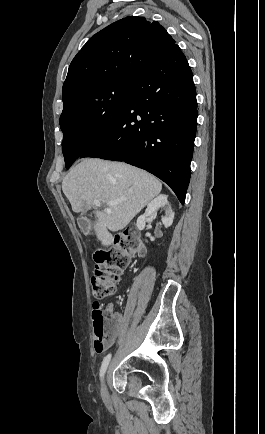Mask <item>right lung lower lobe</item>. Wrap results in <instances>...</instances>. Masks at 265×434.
Wrapping results in <instances>:
<instances>
[{"mask_svg":"<svg viewBox=\"0 0 265 434\" xmlns=\"http://www.w3.org/2000/svg\"><path fill=\"white\" fill-rule=\"evenodd\" d=\"M197 115L193 74L175 44L134 78L118 119L80 158L145 169L167 183L184 204Z\"/></svg>","mask_w":265,"mask_h":434,"instance_id":"98d812e1","label":"right lung lower lobe"}]
</instances>
